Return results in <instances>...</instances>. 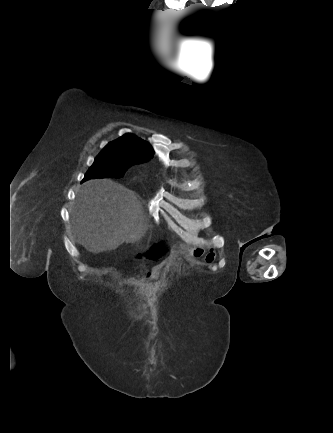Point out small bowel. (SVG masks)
Wrapping results in <instances>:
<instances>
[{"label": "small bowel", "instance_id": "c3829d8e", "mask_svg": "<svg viewBox=\"0 0 333 433\" xmlns=\"http://www.w3.org/2000/svg\"><path fill=\"white\" fill-rule=\"evenodd\" d=\"M183 258L186 260L194 259V258H204L208 264L214 262L215 259V250L213 247H204V246H194L190 248H185L183 252ZM148 285H152V274L148 273L144 280Z\"/></svg>", "mask_w": 333, "mask_h": 433}]
</instances>
